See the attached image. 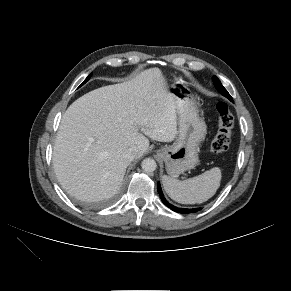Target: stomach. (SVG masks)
I'll use <instances>...</instances> for the list:
<instances>
[{"instance_id":"obj_1","label":"stomach","mask_w":291,"mask_h":291,"mask_svg":"<svg viewBox=\"0 0 291 291\" xmlns=\"http://www.w3.org/2000/svg\"><path fill=\"white\" fill-rule=\"evenodd\" d=\"M170 92L176 101L178 137L172 145L157 150V155L165 162L168 175L176 177L198 164L199 145L204 140L207 129L188 85L176 82L171 86Z\"/></svg>"}]
</instances>
